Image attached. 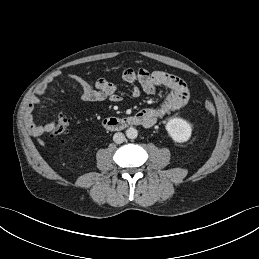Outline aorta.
Wrapping results in <instances>:
<instances>
[{
	"label": "aorta",
	"mask_w": 259,
	"mask_h": 259,
	"mask_svg": "<svg viewBox=\"0 0 259 259\" xmlns=\"http://www.w3.org/2000/svg\"><path fill=\"white\" fill-rule=\"evenodd\" d=\"M126 136L129 139H135L138 136V131L135 128L130 127L126 130Z\"/></svg>",
	"instance_id": "aorta-1"
}]
</instances>
